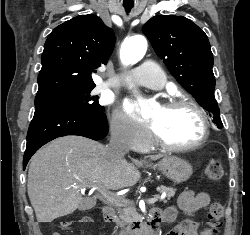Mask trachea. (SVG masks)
<instances>
[{"mask_svg": "<svg viewBox=\"0 0 250 235\" xmlns=\"http://www.w3.org/2000/svg\"><path fill=\"white\" fill-rule=\"evenodd\" d=\"M124 8H125L126 13L128 14L131 11V9L133 8V5L132 6L124 5Z\"/></svg>", "mask_w": 250, "mask_h": 235, "instance_id": "obj_1", "label": "trachea"}]
</instances>
